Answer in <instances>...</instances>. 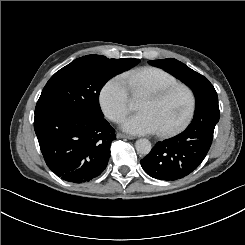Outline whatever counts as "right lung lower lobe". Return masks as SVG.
I'll return each mask as SVG.
<instances>
[{
  "label": "right lung lower lobe",
  "instance_id": "1",
  "mask_svg": "<svg viewBox=\"0 0 245 245\" xmlns=\"http://www.w3.org/2000/svg\"><path fill=\"white\" fill-rule=\"evenodd\" d=\"M34 129L47 166L60 178L82 183L106 168L115 130L103 119L53 110L35 115Z\"/></svg>",
  "mask_w": 245,
  "mask_h": 245
}]
</instances>
